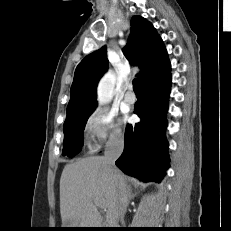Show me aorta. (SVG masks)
I'll return each mask as SVG.
<instances>
[{"instance_id": "1", "label": "aorta", "mask_w": 231, "mask_h": 231, "mask_svg": "<svg viewBox=\"0 0 231 231\" xmlns=\"http://www.w3.org/2000/svg\"><path fill=\"white\" fill-rule=\"evenodd\" d=\"M116 77L112 72L106 73L97 87V100L100 105L109 103L113 98Z\"/></svg>"}]
</instances>
